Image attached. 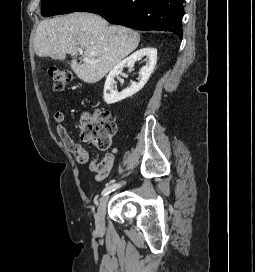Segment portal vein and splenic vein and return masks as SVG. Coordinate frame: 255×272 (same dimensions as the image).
<instances>
[{
	"label": "portal vein and splenic vein",
	"mask_w": 255,
	"mask_h": 272,
	"mask_svg": "<svg viewBox=\"0 0 255 272\" xmlns=\"http://www.w3.org/2000/svg\"><path fill=\"white\" fill-rule=\"evenodd\" d=\"M79 53L82 55L83 53H85V51H83V49H79L78 50ZM84 62H90V60H88L87 58H84Z\"/></svg>",
	"instance_id": "1"
}]
</instances>
